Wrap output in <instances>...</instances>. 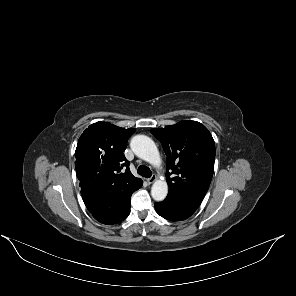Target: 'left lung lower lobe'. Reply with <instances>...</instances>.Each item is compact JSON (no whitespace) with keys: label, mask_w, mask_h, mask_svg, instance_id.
<instances>
[{"label":"left lung lower lobe","mask_w":296,"mask_h":296,"mask_svg":"<svg viewBox=\"0 0 296 296\" xmlns=\"http://www.w3.org/2000/svg\"><path fill=\"white\" fill-rule=\"evenodd\" d=\"M200 204L181 203L165 199L162 202L155 203L157 213L165 219L171 221H182L190 217Z\"/></svg>","instance_id":"1"}]
</instances>
